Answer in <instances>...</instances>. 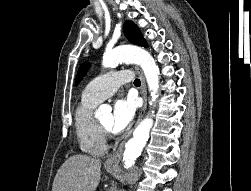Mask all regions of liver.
Returning <instances> with one entry per match:
<instances>
[{"instance_id": "6515ba94", "label": "liver", "mask_w": 251, "mask_h": 191, "mask_svg": "<svg viewBox=\"0 0 251 191\" xmlns=\"http://www.w3.org/2000/svg\"><path fill=\"white\" fill-rule=\"evenodd\" d=\"M101 179V159L70 155L59 167L52 191H95Z\"/></svg>"}]
</instances>
